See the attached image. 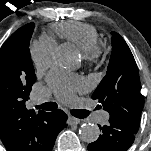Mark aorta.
Masks as SVG:
<instances>
[{"label":"aorta","mask_w":151,"mask_h":151,"mask_svg":"<svg viewBox=\"0 0 151 151\" xmlns=\"http://www.w3.org/2000/svg\"><path fill=\"white\" fill-rule=\"evenodd\" d=\"M55 60L58 64L66 67L74 65L75 55L69 46H60L55 51ZM100 135V129L92 123H84L79 129V136L83 142H95Z\"/></svg>","instance_id":"obj_1"}]
</instances>
